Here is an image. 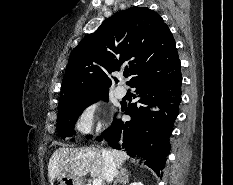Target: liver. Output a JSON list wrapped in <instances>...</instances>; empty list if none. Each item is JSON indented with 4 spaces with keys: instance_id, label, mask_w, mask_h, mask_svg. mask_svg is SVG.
Here are the masks:
<instances>
[{
    "instance_id": "1",
    "label": "liver",
    "mask_w": 233,
    "mask_h": 185,
    "mask_svg": "<svg viewBox=\"0 0 233 185\" xmlns=\"http://www.w3.org/2000/svg\"><path fill=\"white\" fill-rule=\"evenodd\" d=\"M118 168L129 158L124 151L109 150ZM102 152L96 148H65L54 151L48 164V177L52 184L62 173H69L81 178L90 173L93 178L104 179Z\"/></svg>"
}]
</instances>
